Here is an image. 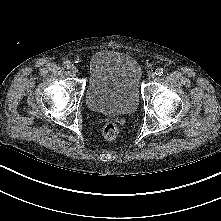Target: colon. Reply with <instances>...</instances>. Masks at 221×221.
I'll return each instance as SVG.
<instances>
[{
    "instance_id": "obj_1",
    "label": "colon",
    "mask_w": 221,
    "mask_h": 221,
    "mask_svg": "<svg viewBox=\"0 0 221 221\" xmlns=\"http://www.w3.org/2000/svg\"><path fill=\"white\" fill-rule=\"evenodd\" d=\"M119 134V128L115 123L109 122L104 125L102 135L107 140L115 139Z\"/></svg>"
}]
</instances>
